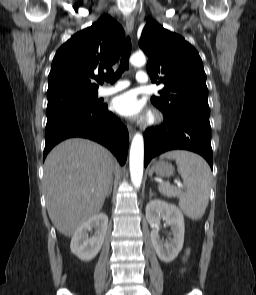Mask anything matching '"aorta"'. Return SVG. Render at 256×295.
<instances>
[{
    "instance_id": "762f6f07",
    "label": "aorta",
    "mask_w": 256,
    "mask_h": 295,
    "mask_svg": "<svg viewBox=\"0 0 256 295\" xmlns=\"http://www.w3.org/2000/svg\"><path fill=\"white\" fill-rule=\"evenodd\" d=\"M130 62L134 66L141 67L145 65L146 58L143 53H135L131 56ZM129 165L132 184L135 188H140L144 168V141L139 133H136L132 139Z\"/></svg>"
}]
</instances>
